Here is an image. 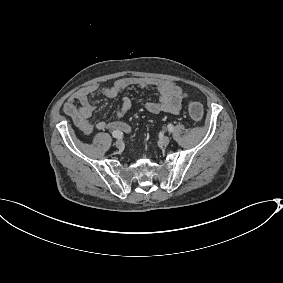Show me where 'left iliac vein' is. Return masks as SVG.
<instances>
[{
	"label": "left iliac vein",
	"mask_w": 283,
	"mask_h": 283,
	"mask_svg": "<svg viewBox=\"0 0 283 283\" xmlns=\"http://www.w3.org/2000/svg\"><path fill=\"white\" fill-rule=\"evenodd\" d=\"M160 142L161 144L163 145H168L170 143V138L168 136H163L161 139H160Z\"/></svg>",
	"instance_id": "1"
}]
</instances>
